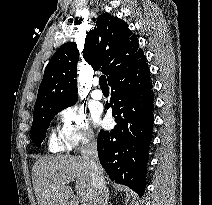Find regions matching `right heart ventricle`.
<instances>
[{
    "instance_id": "right-heart-ventricle-1",
    "label": "right heart ventricle",
    "mask_w": 212,
    "mask_h": 205,
    "mask_svg": "<svg viewBox=\"0 0 212 205\" xmlns=\"http://www.w3.org/2000/svg\"><path fill=\"white\" fill-rule=\"evenodd\" d=\"M49 149L52 152H60V151L63 150V146H62V143H61L60 139L58 137H56L54 134H52L50 136Z\"/></svg>"
}]
</instances>
